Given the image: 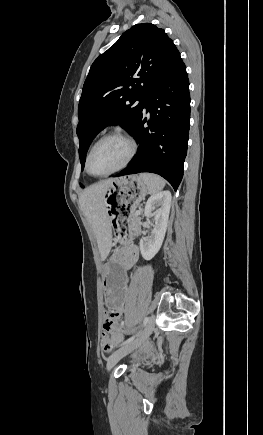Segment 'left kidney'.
<instances>
[{
  "label": "left kidney",
  "instance_id": "5707ae66",
  "mask_svg": "<svg viewBox=\"0 0 263 435\" xmlns=\"http://www.w3.org/2000/svg\"><path fill=\"white\" fill-rule=\"evenodd\" d=\"M171 199V192L165 190L153 194L146 202L144 215L147 218L154 216L155 224L150 236L140 240V251L145 260H151L162 246L168 224ZM154 210L155 212H153Z\"/></svg>",
  "mask_w": 263,
  "mask_h": 435
}]
</instances>
